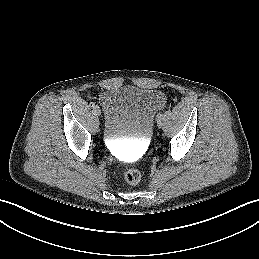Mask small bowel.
Instances as JSON below:
<instances>
[{
    "label": "small bowel",
    "instance_id": "1",
    "mask_svg": "<svg viewBox=\"0 0 259 259\" xmlns=\"http://www.w3.org/2000/svg\"><path fill=\"white\" fill-rule=\"evenodd\" d=\"M159 96V95H158ZM159 100H160V104H159V106H161L162 105V99H161V97L159 96Z\"/></svg>",
    "mask_w": 259,
    "mask_h": 259
}]
</instances>
